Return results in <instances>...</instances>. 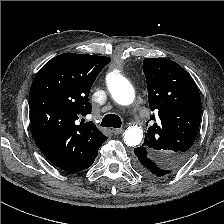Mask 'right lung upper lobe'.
I'll list each match as a JSON object with an SVG mask.
<instances>
[{
	"label": "right lung upper lobe",
	"instance_id": "right-lung-upper-lobe-1",
	"mask_svg": "<svg viewBox=\"0 0 224 224\" xmlns=\"http://www.w3.org/2000/svg\"><path fill=\"white\" fill-rule=\"evenodd\" d=\"M109 57L64 53L36 74L29 93L35 141L56 167L78 172L90 167L107 140L92 122H79L91 112L89 91Z\"/></svg>",
	"mask_w": 224,
	"mask_h": 224
}]
</instances>
